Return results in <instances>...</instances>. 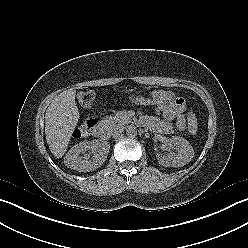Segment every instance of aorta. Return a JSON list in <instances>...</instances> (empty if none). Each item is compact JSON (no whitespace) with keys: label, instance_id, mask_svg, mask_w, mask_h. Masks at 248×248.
Returning a JSON list of instances; mask_svg holds the SVG:
<instances>
[{"label":"aorta","instance_id":"aorta-1","mask_svg":"<svg viewBox=\"0 0 248 248\" xmlns=\"http://www.w3.org/2000/svg\"><path fill=\"white\" fill-rule=\"evenodd\" d=\"M126 134L129 137H135L137 135L136 127L135 126H132V125L128 126L126 128Z\"/></svg>","mask_w":248,"mask_h":248}]
</instances>
